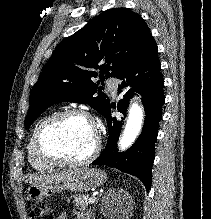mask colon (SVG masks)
Returning a JSON list of instances; mask_svg holds the SVG:
<instances>
[{
	"mask_svg": "<svg viewBox=\"0 0 211 219\" xmlns=\"http://www.w3.org/2000/svg\"><path fill=\"white\" fill-rule=\"evenodd\" d=\"M30 219H54L50 210L41 207H33L30 211Z\"/></svg>",
	"mask_w": 211,
	"mask_h": 219,
	"instance_id": "obj_1",
	"label": "colon"
}]
</instances>
